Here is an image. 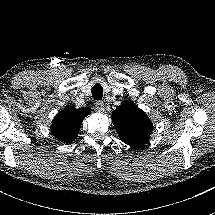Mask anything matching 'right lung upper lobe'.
Returning a JSON list of instances; mask_svg holds the SVG:
<instances>
[{"label":"right lung upper lobe","instance_id":"right-lung-upper-lobe-1","mask_svg":"<svg viewBox=\"0 0 215 215\" xmlns=\"http://www.w3.org/2000/svg\"><path fill=\"white\" fill-rule=\"evenodd\" d=\"M90 113L89 108L67 106L54 118L51 133L62 142H72L79 133L83 119Z\"/></svg>","mask_w":215,"mask_h":215}]
</instances>
